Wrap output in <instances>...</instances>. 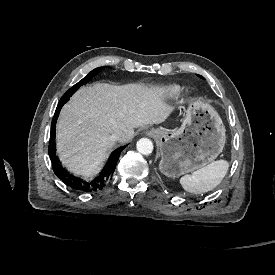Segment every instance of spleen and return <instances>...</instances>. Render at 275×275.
Here are the masks:
<instances>
[{"instance_id": "3e777b00", "label": "spleen", "mask_w": 275, "mask_h": 275, "mask_svg": "<svg viewBox=\"0 0 275 275\" xmlns=\"http://www.w3.org/2000/svg\"><path fill=\"white\" fill-rule=\"evenodd\" d=\"M228 169V161L217 160L194 171L191 175L181 177L180 184L189 193H206L216 188L222 182Z\"/></svg>"}]
</instances>
